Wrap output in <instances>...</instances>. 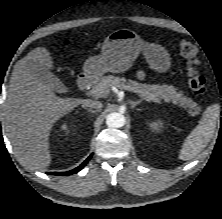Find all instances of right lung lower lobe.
<instances>
[{"instance_id": "1", "label": "right lung lower lobe", "mask_w": 222, "mask_h": 219, "mask_svg": "<svg viewBox=\"0 0 222 219\" xmlns=\"http://www.w3.org/2000/svg\"><path fill=\"white\" fill-rule=\"evenodd\" d=\"M91 156L92 155H90L80 166H78L77 168H75L73 170H70V171H67V172H61V173L49 172L48 174H53V175H70V174H74V173L80 171L87 164V162L90 160Z\"/></svg>"}]
</instances>
